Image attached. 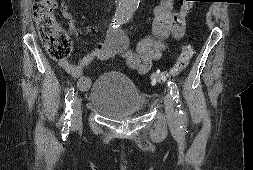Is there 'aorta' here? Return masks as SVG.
I'll use <instances>...</instances> for the list:
<instances>
[{"label":"aorta","mask_w":253,"mask_h":170,"mask_svg":"<svg viewBox=\"0 0 253 170\" xmlns=\"http://www.w3.org/2000/svg\"><path fill=\"white\" fill-rule=\"evenodd\" d=\"M140 0H119L117 15L120 18L130 17L138 8Z\"/></svg>","instance_id":"762f6f07"}]
</instances>
